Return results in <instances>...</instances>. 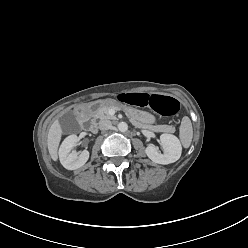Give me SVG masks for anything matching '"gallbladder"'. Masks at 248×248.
<instances>
[{"mask_svg": "<svg viewBox=\"0 0 248 248\" xmlns=\"http://www.w3.org/2000/svg\"><path fill=\"white\" fill-rule=\"evenodd\" d=\"M66 120L63 123V127L66 131L75 130L79 128L78 123L76 122L73 113L68 112L65 114Z\"/></svg>", "mask_w": 248, "mask_h": 248, "instance_id": "1", "label": "gallbladder"}]
</instances>
